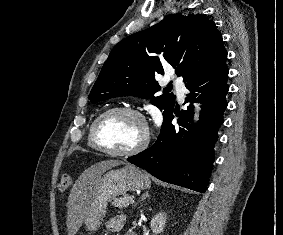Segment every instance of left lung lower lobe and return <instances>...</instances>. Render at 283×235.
Returning a JSON list of instances; mask_svg holds the SVG:
<instances>
[{
    "instance_id": "1",
    "label": "left lung lower lobe",
    "mask_w": 283,
    "mask_h": 235,
    "mask_svg": "<svg viewBox=\"0 0 283 235\" xmlns=\"http://www.w3.org/2000/svg\"><path fill=\"white\" fill-rule=\"evenodd\" d=\"M228 69L226 61L186 82L191 92L185 98L187 111H172L163 122L161 133L153 146L127 160L156 178L198 192L207 190L208 178L214 161V145L218 129L223 124L227 107ZM196 92L202 93L198 98ZM193 102L202 103L197 126L190 125ZM174 113L179 129L172 125Z\"/></svg>"
}]
</instances>
